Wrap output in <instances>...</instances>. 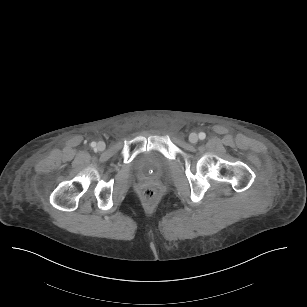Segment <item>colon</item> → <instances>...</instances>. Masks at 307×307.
Segmentation results:
<instances>
[{"label": "colon", "instance_id": "obj_1", "mask_svg": "<svg viewBox=\"0 0 307 307\" xmlns=\"http://www.w3.org/2000/svg\"><path fill=\"white\" fill-rule=\"evenodd\" d=\"M141 198L146 203H152L157 198V190L152 185H146L141 190Z\"/></svg>", "mask_w": 307, "mask_h": 307}]
</instances>
